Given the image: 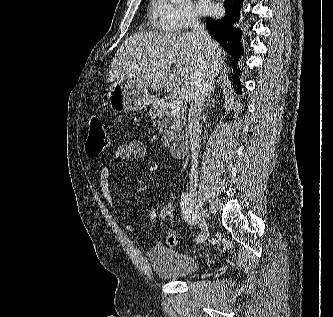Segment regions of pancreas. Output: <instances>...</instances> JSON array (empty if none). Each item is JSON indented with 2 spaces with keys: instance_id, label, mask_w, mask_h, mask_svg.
<instances>
[{
  "instance_id": "1",
  "label": "pancreas",
  "mask_w": 333,
  "mask_h": 317,
  "mask_svg": "<svg viewBox=\"0 0 333 317\" xmlns=\"http://www.w3.org/2000/svg\"><path fill=\"white\" fill-rule=\"evenodd\" d=\"M152 119L158 120L159 133L163 137V144L169 145V142L177 137L186 123L185 114L182 111H173L165 99L154 98L150 108Z\"/></svg>"
}]
</instances>
